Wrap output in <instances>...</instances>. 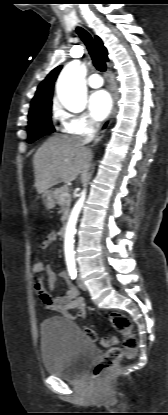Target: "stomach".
I'll return each instance as SVG.
<instances>
[{
	"instance_id": "obj_1",
	"label": "stomach",
	"mask_w": 168,
	"mask_h": 415,
	"mask_svg": "<svg viewBox=\"0 0 168 415\" xmlns=\"http://www.w3.org/2000/svg\"><path fill=\"white\" fill-rule=\"evenodd\" d=\"M43 204L46 209H52L55 206L53 195L50 191L43 193L42 195Z\"/></svg>"
}]
</instances>
